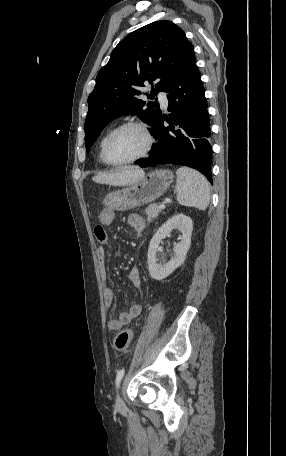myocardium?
<instances>
[{
  "label": "myocardium",
  "mask_w": 286,
  "mask_h": 456,
  "mask_svg": "<svg viewBox=\"0 0 286 456\" xmlns=\"http://www.w3.org/2000/svg\"><path fill=\"white\" fill-rule=\"evenodd\" d=\"M129 127L138 128L143 132V134L146 138L145 149L143 150V152L141 154H139L138 156H136L134 158H131L129 160L122 161V162H115L109 157V154H108L109 144H110L111 140L113 139V137L118 132H120L123 129L129 128ZM153 145H154V137L147 124L140 122V121H134V120L126 121V122L119 124L115 128H113L111 130V132L108 134V136L106 137V139L104 141V145H103V150H102L103 160L105 161L106 164L113 166V167L126 166V165L135 163V162L147 157L148 154L150 153V151L152 150Z\"/></svg>",
  "instance_id": "myocardium-1"
}]
</instances>
